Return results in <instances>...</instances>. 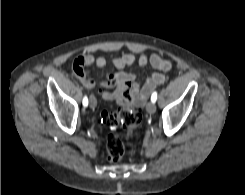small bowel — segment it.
<instances>
[{"mask_svg":"<svg viewBox=\"0 0 245 195\" xmlns=\"http://www.w3.org/2000/svg\"><path fill=\"white\" fill-rule=\"evenodd\" d=\"M111 66L118 69V72L110 73L99 84L100 95L105 100H114L121 105L142 106L149 97L152 90L165 81L163 72L172 68V63L162 58L157 53L141 54L136 57L134 54H125L113 57L110 61ZM150 64L155 70L152 75L140 84L135 74L123 71L126 67L134 65L146 66ZM95 65L98 68H104L107 65V59L102 56H94L86 53L79 56L73 64V70L80 82L88 89L95 86V81L89 76L86 67ZM115 87L114 91L108 92L104 88Z\"/></svg>","mask_w":245,"mask_h":195,"instance_id":"obj_1","label":"small bowel"}]
</instances>
